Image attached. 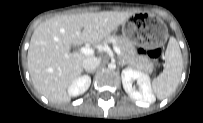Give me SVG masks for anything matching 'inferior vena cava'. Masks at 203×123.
<instances>
[{"label":"inferior vena cava","mask_w":203,"mask_h":123,"mask_svg":"<svg viewBox=\"0 0 203 123\" xmlns=\"http://www.w3.org/2000/svg\"><path fill=\"white\" fill-rule=\"evenodd\" d=\"M101 63V58L89 57L83 60L82 66L87 71L95 70Z\"/></svg>","instance_id":"obj_1"}]
</instances>
